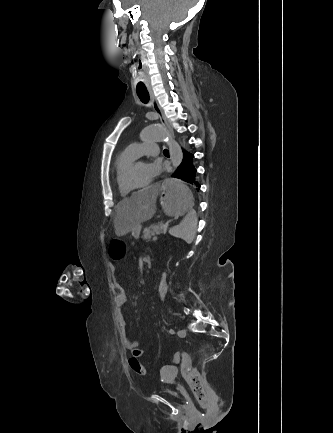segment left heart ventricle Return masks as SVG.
I'll return each mask as SVG.
<instances>
[{"instance_id":"left-heart-ventricle-1","label":"left heart ventricle","mask_w":333,"mask_h":433,"mask_svg":"<svg viewBox=\"0 0 333 433\" xmlns=\"http://www.w3.org/2000/svg\"><path fill=\"white\" fill-rule=\"evenodd\" d=\"M153 155H148V157H152ZM148 165L149 163L144 161H139L132 173L131 176V183L133 185H142L144 183H147L148 180Z\"/></svg>"}]
</instances>
